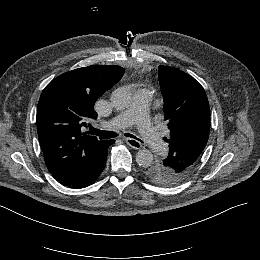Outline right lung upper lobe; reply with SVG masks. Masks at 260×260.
Here are the masks:
<instances>
[{
  "label": "right lung upper lobe",
  "instance_id": "cb5924a9",
  "mask_svg": "<svg viewBox=\"0 0 260 260\" xmlns=\"http://www.w3.org/2000/svg\"><path fill=\"white\" fill-rule=\"evenodd\" d=\"M116 65H91L66 72L43 90L37 109L38 138L55 179L80 172L104 154L109 143L82 133L97 118L95 101L123 76Z\"/></svg>",
  "mask_w": 260,
  "mask_h": 260
}]
</instances>
